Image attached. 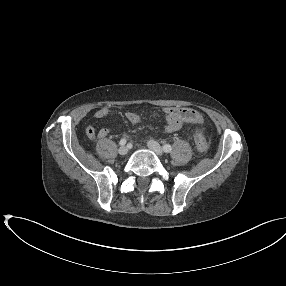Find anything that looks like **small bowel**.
I'll return each mask as SVG.
<instances>
[{"mask_svg":"<svg viewBox=\"0 0 286 286\" xmlns=\"http://www.w3.org/2000/svg\"><path fill=\"white\" fill-rule=\"evenodd\" d=\"M108 114L109 109L103 106L96 110L94 117L103 119ZM163 114L166 118L165 130L170 133L178 131L185 124H201L204 121L200 112L189 107H165ZM125 117L131 124H137L141 120L140 115L135 112H127ZM86 132L89 139H94L96 135L98 138L103 139L110 134V130L107 128H102L97 133L93 126H89Z\"/></svg>","mask_w":286,"mask_h":286,"instance_id":"obj_1","label":"small bowel"}]
</instances>
